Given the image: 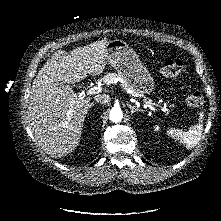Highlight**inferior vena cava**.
Segmentation results:
<instances>
[{
	"label": "inferior vena cava",
	"mask_w": 221,
	"mask_h": 221,
	"mask_svg": "<svg viewBox=\"0 0 221 221\" xmlns=\"http://www.w3.org/2000/svg\"><path fill=\"white\" fill-rule=\"evenodd\" d=\"M94 100L97 102V103H100V104H108L110 99L107 95H97L95 96Z\"/></svg>",
	"instance_id": "inferior-vena-cava-1"
}]
</instances>
